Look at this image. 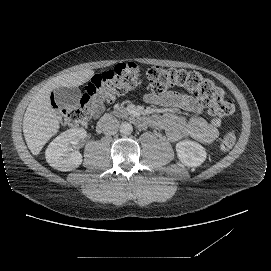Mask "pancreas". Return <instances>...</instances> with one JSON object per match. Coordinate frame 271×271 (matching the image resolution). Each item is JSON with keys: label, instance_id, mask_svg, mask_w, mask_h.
I'll use <instances>...</instances> for the list:
<instances>
[{"label": "pancreas", "instance_id": "cf45deb5", "mask_svg": "<svg viewBox=\"0 0 271 271\" xmlns=\"http://www.w3.org/2000/svg\"><path fill=\"white\" fill-rule=\"evenodd\" d=\"M119 112L120 114L127 115L126 108L123 107H118L116 110L113 111V114L116 116H120Z\"/></svg>", "mask_w": 271, "mask_h": 271}]
</instances>
